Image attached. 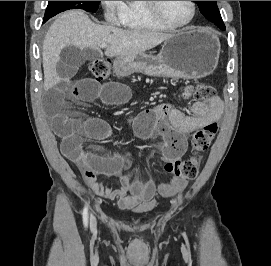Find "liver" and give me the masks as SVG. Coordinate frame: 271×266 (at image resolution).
Listing matches in <instances>:
<instances>
[{
    "instance_id": "obj_1",
    "label": "liver",
    "mask_w": 271,
    "mask_h": 266,
    "mask_svg": "<svg viewBox=\"0 0 271 266\" xmlns=\"http://www.w3.org/2000/svg\"><path fill=\"white\" fill-rule=\"evenodd\" d=\"M171 36L154 31L98 25L84 11H66L50 26L43 42L44 90H49L61 81L55 64L59 62L61 51L66 46L73 45L83 51L98 50L102 44H107L106 56L123 57L150 50Z\"/></svg>"
}]
</instances>
